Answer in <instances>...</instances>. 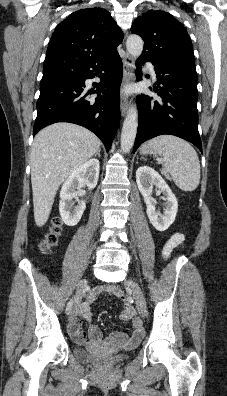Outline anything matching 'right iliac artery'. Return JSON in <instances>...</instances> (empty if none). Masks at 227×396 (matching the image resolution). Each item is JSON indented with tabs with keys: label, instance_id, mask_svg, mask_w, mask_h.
<instances>
[{
	"label": "right iliac artery",
	"instance_id": "1",
	"mask_svg": "<svg viewBox=\"0 0 227 396\" xmlns=\"http://www.w3.org/2000/svg\"><path fill=\"white\" fill-rule=\"evenodd\" d=\"M73 300L71 299L66 307V314H69L70 310H71V306H72Z\"/></svg>",
	"mask_w": 227,
	"mask_h": 396
}]
</instances>
